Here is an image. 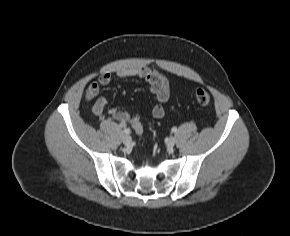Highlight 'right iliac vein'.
<instances>
[{
  "instance_id": "obj_1",
  "label": "right iliac vein",
  "mask_w": 290,
  "mask_h": 236,
  "mask_svg": "<svg viewBox=\"0 0 290 236\" xmlns=\"http://www.w3.org/2000/svg\"><path fill=\"white\" fill-rule=\"evenodd\" d=\"M122 142L125 144V145H130L132 143V139L129 135H124L122 137Z\"/></svg>"
}]
</instances>
